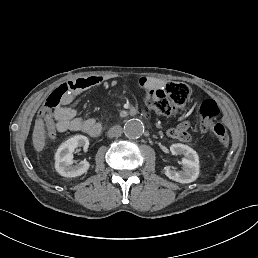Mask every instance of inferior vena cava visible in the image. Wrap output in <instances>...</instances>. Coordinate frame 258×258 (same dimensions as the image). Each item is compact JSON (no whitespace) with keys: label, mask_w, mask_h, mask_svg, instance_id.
<instances>
[{"label":"inferior vena cava","mask_w":258,"mask_h":258,"mask_svg":"<svg viewBox=\"0 0 258 258\" xmlns=\"http://www.w3.org/2000/svg\"><path fill=\"white\" fill-rule=\"evenodd\" d=\"M122 134V127L119 125H114L108 131L109 137H118Z\"/></svg>","instance_id":"1"}]
</instances>
